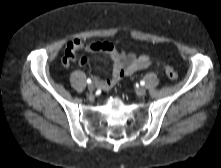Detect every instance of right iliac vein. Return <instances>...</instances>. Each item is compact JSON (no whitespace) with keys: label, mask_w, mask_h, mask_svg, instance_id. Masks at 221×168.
Returning <instances> with one entry per match:
<instances>
[{"label":"right iliac vein","mask_w":221,"mask_h":168,"mask_svg":"<svg viewBox=\"0 0 221 168\" xmlns=\"http://www.w3.org/2000/svg\"><path fill=\"white\" fill-rule=\"evenodd\" d=\"M94 89H95V85H94L93 83H91V84L88 85V90H89L90 92L94 91Z\"/></svg>","instance_id":"1"}]
</instances>
